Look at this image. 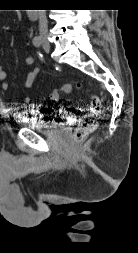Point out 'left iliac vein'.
Masks as SVG:
<instances>
[{
    "label": "left iliac vein",
    "instance_id": "obj_1",
    "mask_svg": "<svg viewBox=\"0 0 138 253\" xmlns=\"http://www.w3.org/2000/svg\"><path fill=\"white\" fill-rule=\"evenodd\" d=\"M50 48H49V45L47 43L44 44V51L45 52H49Z\"/></svg>",
    "mask_w": 138,
    "mask_h": 253
}]
</instances>
